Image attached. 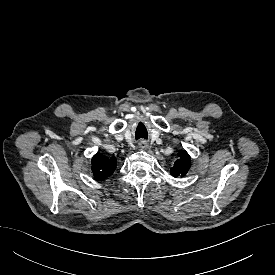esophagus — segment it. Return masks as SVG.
Segmentation results:
<instances>
[{
	"instance_id": "obj_1",
	"label": "esophagus",
	"mask_w": 275,
	"mask_h": 275,
	"mask_svg": "<svg viewBox=\"0 0 275 275\" xmlns=\"http://www.w3.org/2000/svg\"><path fill=\"white\" fill-rule=\"evenodd\" d=\"M138 145H139V148H141V149H147L148 148V142L146 140H140Z\"/></svg>"
}]
</instances>
